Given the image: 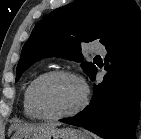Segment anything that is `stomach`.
I'll use <instances>...</instances> for the list:
<instances>
[{
  "instance_id": "stomach-1",
  "label": "stomach",
  "mask_w": 141,
  "mask_h": 139,
  "mask_svg": "<svg viewBox=\"0 0 141 139\" xmlns=\"http://www.w3.org/2000/svg\"><path fill=\"white\" fill-rule=\"evenodd\" d=\"M12 139H91V136L78 129L50 127L16 134Z\"/></svg>"
}]
</instances>
